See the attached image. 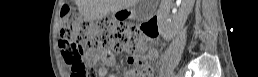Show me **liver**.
<instances>
[{
    "mask_svg": "<svg viewBox=\"0 0 258 77\" xmlns=\"http://www.w3.org/2000/svg\"><path fill=\"white\" fill-rule=\"evenodd\" d=\"M139 0H75L79 12L86 20L94 21L124 8L135 6ZM172 0H162L170 4Z\"/></svg>",
    "mask_w": 258,
    "mask_h": 77,
    "instance_id": "obj_1",
    "label": "liver"
}]
</instances>
